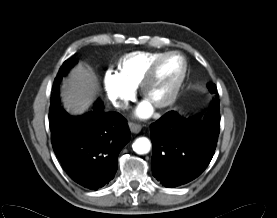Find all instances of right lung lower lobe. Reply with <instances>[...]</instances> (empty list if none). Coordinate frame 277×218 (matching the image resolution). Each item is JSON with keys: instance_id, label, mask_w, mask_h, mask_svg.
Returning a JSON list of instances; mask_svg holds the SVG:
<instances>
[{"instance_id": "obj_1", "label": "right lung lower lobe", "mask_w": 277, "mask_h": 218, "mask_svg": "<svg viewBox=\"0 0 277 218\" xmlns=\"http://www.w3.org/2000/svg\"><path fill=\"white\" fill-rule=\"evenodd\" d=\"M56 77L51 101H59ZM102 102L83 116L67 115L52 131L53 150L64 170L81 186L97 190L117 171L118 154L130 140L126 120L116 112H103Z\"/></svg>"}]
</instances>
